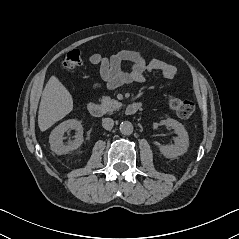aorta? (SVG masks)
Here are the masks:
<instances>
[{
	"label": "aorta",
	"mask_w": 239,
	"mask_h": 239,
	"mask_svg": "<svg viewBox=\"0 0 239 239\" xmlns=\"http://www.w3.org/2000/svg\"><path fill=\"white\" fill-rule=\"evenodd\" d=\"M119 129H120L121 133L125 134V135L132 134L133 130H134L132 123L129 121L121 122Z\"/></svg>",
	"instance_id": "obj_1"
}]
</instances>
